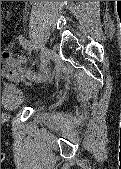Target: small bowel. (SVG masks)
<instances>
[{
	"label": "small bowel",
	"mask_w": 121,
	"mask_h": 169,
	"mask_svg": "<svg viewBox=\"0 0 121 169\" xmlns=\"http://www.w3.org/2000/svg\"><path fill=\"white\" fill-rule=\"evenodd\" d=\"M24 64V57H13L8 52H4L1 60V74L2 76L12 80H19L25 77L28 78L29 74H31L32 71L25 68Z\"/></svg>",
	"instance_id": "1"
}]
</instances>
